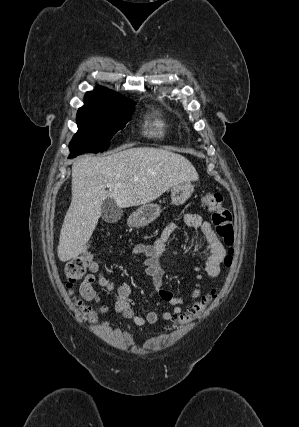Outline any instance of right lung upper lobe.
I'll use <instances>...</instances> for the list:
<instances>
[{
	"label": "right lung upper lobe",
	"mask_w": 299,
	"mask_h": 427,
	"mask_svg": "<svg viewBox=\"0 0 299 427\" xmlns=\"http://www.w3.org/2000/svg\"><path fill=\"white\" fill-rule=\"evenodd\" d=\"M120 100H126V98L103 87H98L85 94V103H109Z\"/></svg>",
	"instance_id": "1"
}]
</instances>
